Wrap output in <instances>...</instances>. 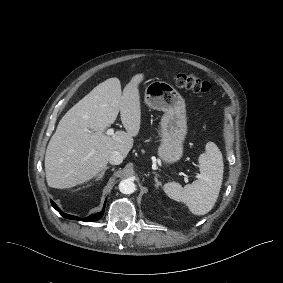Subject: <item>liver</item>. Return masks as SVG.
<instances>
[{
	"mask_svg": "<svg viewBox=\"0 0 283 283\" xmlns=\"http://www.w3.org/2000/svg\"><path fill=\"white\" fill-rule=\"evenodd\" d=\"M140 80L141 76L134 77L122 92L117 78L107 79L61 118L45 155L50 187H70L90 179L107 165L111 152L128 155L132 136L137 135L140 126L136 89ZM119 112L126 132L105 136L103 132L116 121Z\"/></svg>",
	"mask_w": 283,
	"mask_h": 283,
	"instance_id": "1",
	"label": "liver"
}]
</instances>
